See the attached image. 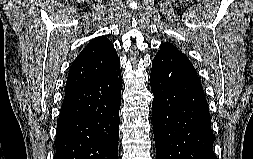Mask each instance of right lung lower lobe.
Masks as SVG:
<instances>
[{
  "label": "right lung lower lobe",
  "instance_id": "obj_1",
  "mask_svg": "<svg viewBox=\"0 0 253 159\" xmlns=\"http://www.w3.org/2000/svg\"><path fill=\"white\" fill-rule=\"evenodd\" d=\"M120 103V64L65 92L54 159H117Z\"/></svg>",
  "mask_w": 253,
  "mask_h": 159
}]
</instances>
